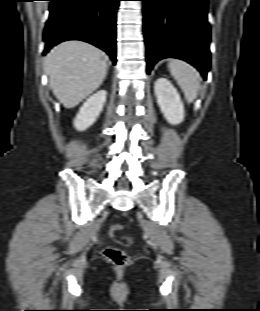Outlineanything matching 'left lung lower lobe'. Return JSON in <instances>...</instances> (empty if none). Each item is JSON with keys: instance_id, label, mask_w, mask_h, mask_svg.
Returning <instances> with one entry per match:
<instances>
[{"instance_id": "0a47b994", "label": "left lung lower lobe", "mask_w": 260, "mask_h": 311, "mask_svg": "<svg viewBox=\"0 0 260 311\" xmlns=\"http://www.w3.org/2000/svg\"><path fill=\"white\" fill-rule=\"evenodd\" d=\"M143 1L147 74L167 57L187 61L206 79L210 67L208 0Z\"/></svg>"}]
</instances>
